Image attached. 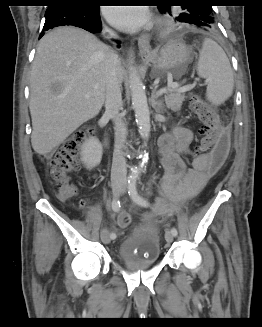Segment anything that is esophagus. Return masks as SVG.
I'll return each mask as SVG.
<instances>
[{
    "label": "esophagus",
    "mask_w": 262,
    "mask_h": 327,
    "mask_svg": "<svg viewBox=\"0 0 262 327\" xmlns=\"http://www.w3.org/2000/svg\"><path fill=\"white\" fill-rule=\"evenodd\" d=\"M139 51L142 56L152 55V48L150 45V38L146 35L141 36L138 40Z\"/></svg>",
    "instance_id": "obj_1"
}]
</instances>
